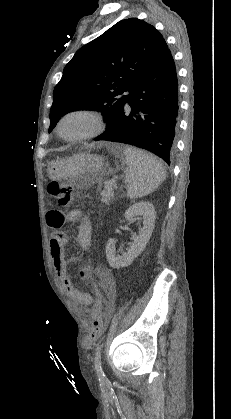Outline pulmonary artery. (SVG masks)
Listing matches in <instances>:
<instances>
[{"instance_id":"e3ab8cb5","label":"pulmonary artery","mask_w":231,"mask_h":419,"mask_svg":"<svg viewBox=\"0 0 231 419\" xmlns=\"http://www.w3.org/2000/svg\"><path fill=\"white\" fill-rule=\"evenodd\" d=\"M125 95H127L128 97H130V93H129V91H127V92L125 93Z\"/></svg>"}]
</instances>
